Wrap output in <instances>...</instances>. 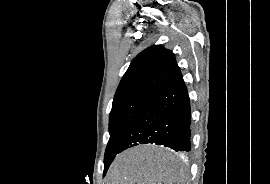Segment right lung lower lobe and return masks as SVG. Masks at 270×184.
<instances>
[{
    "instance_id": "98d812e1",
    "label": "right lung lower lobe",
    "mask_w": 270,
    "mask_h": 184,
    "mask_svg": "<svg viewBox=\"0 0 270 184\" xmlns=\"http://www.w3.org/2000/svg\"><path fill=\"white\" fill-rule=\"evenodd\" d=\"M164 145L175 151L191 150V108L182 74L145 102L119 148L139 144Z\"/></svg>"
}]
</instances>
